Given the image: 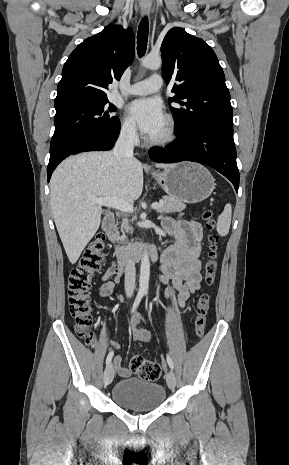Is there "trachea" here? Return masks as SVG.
I'll return each instance as SVG.
<instances>
[{"instance_id": "trachea-1", "label": "trachea", "mask_w": 289, "mask_h": 465, "mask_svg": "<svg viewBox=\"0 0 289 465\" xmlns=\"http://www.w3.org/2000/svg\"><path fill=\"white\" fill-rule=\"evenodd\" d=\"M149 24L145 17L141 20L137 33V53L139 57L144 56L147 49Z\"/></svg>"}]
</instances>
